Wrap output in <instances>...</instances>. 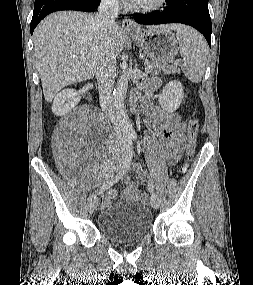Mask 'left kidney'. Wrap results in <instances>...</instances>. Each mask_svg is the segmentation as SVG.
Returning <instances> with one entry per match:
<instances>
[{
    "label": "left kidney",
    "mask_w": 253,
    "mask_h": 285,
    "mask_svg": "<svg viewBox=\"0 0 253 285\" xmlns=\"http://www.w3.org/2000/svg\"><path fill=\"white\" fill-rule=\"evenodd\" d=\"M184 98L183 86L179 81L167 83L159 95V104L167 112L176 111Z\"/></svg>",
    "instance_id": "5707ae66"
}]
</instances>
